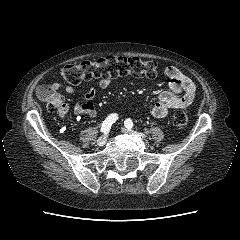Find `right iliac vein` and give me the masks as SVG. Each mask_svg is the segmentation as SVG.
Segmentation results:
<instances>
[{"label": "right iliac vein", "instance_id": "right-iliac-vein-1", "mask_svg": "<svg viewBox=\"0 0 240 240\" xmlns=\"http://www.w3.org/2000/svg\"><path fill=\"white\" fill-rule=\"evenodd\" d=\"M106 141H107V134H104V135H102L101 137L98 138L97 145L98 146H103V145H105Z\"/></svg>", "mask_w": 240, "mask_h": 240}]
</instances>
